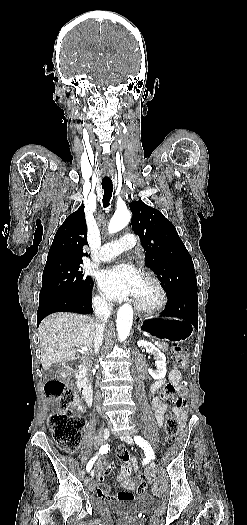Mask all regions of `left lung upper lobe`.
<instances>
[{
	"label": "left lung upper lobe",
	"mask_w": 247,
	"mask_h": 525,
	"mask_svg": "<svg viewBox=\"0 0 247 525\" xmlns=\"http://www.w3.org/2000/svg\"><path fill=\"white\" fill-rule=\"evenodd\" d=\"M133 231L142 240L145 264L158 277L167 295L180 291L197 292L192 258L175 226L157 209L142 200L129 204Z\"/></svg>",
	"instance_id": "left-lung-upper-lobe-1"
}]
</instances>
